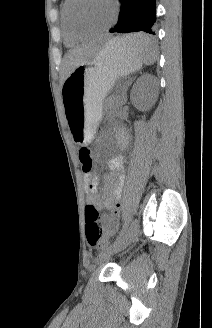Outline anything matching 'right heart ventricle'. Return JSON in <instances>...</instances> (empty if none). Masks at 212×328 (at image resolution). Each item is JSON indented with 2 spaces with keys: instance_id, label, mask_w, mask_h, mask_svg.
Instances as JSON below:
<instances>
[{
  "instance_id": "1",
  "label": "right heart ventricle",
  "mask_w": 212,
  "mask_h": 328,
  "mask_svg": "<svg viewBox=\"0 0 212 328\" xmlns=\"http://www.w3.org/2000/svg\"><path fill=\"white\" fill-rule=\"evenodd\" d=\"M67 4H68V0H64L62 5V12H61V27L66 44L73 45L87 38L89 34H75L71 31L66 19Z\"/></svg>"
}]
</instances>
